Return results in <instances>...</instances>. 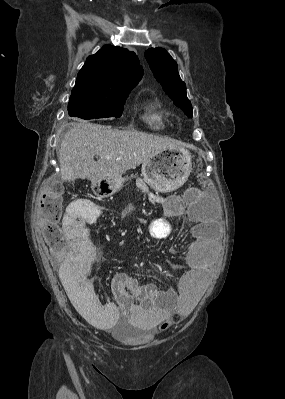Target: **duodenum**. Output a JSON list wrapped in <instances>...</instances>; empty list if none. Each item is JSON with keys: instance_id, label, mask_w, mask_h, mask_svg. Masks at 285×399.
<instances>
[{"instance_id": "obj_1", "label": "duodenum", "mask_w": 285, "mask_h": 399, "mask_svg": "<svg viewBox=\"0 0 285 399\" xmlns=\"http://www.w3.org/2000/svg\"><path fill=\"white\" fill-rule=\"evenodd\" d=\"M75 216L77 219H80V220L84 219L83 215L79 211L75 212Z\"/></svg>"}]
</instances>
